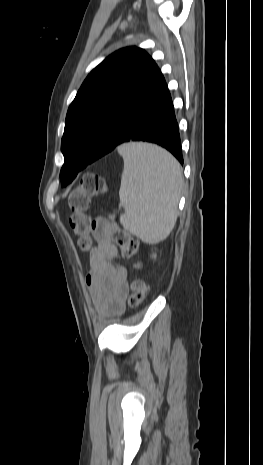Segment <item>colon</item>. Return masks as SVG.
<instances>
[{
	"mask_svg": "<svg viewBox=\"0 0 263 465\" xmlns=\"http://www.w3.org/2000/svg\"><path fill=\"white\" fill-rule=\"evenodd\" d=\"M107 191L105 179L97 173H86L82 176L78 186L70 193L68 205L70 207L69 225L78 236V245L83 250L92 246V237L99 227L108 229L114 243L121 249L124 256H133L139 253L140 246L137 240L115 224L105 220H94L87 215L92 197ZM147 294V285L142 279L136 278L131 283V291L127 299L128 306L138 307Z\"/></svg>",
	"mask_w": 263,
	"mask_h": 465,
	"instance_id": "colon-1",
	"label": "colon"
}]
</instances>
